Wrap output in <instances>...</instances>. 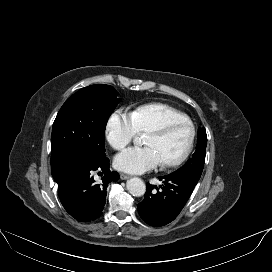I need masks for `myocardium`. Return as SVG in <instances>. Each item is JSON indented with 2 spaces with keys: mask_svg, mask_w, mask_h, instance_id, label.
Segmentation results:
<instances>
[{
  "mask_svg": "<svg viewBox=\"0 0 272 272\" xmlns=\"http://www.w3.org/2000/svg\"><path fill=\"white\" fill-rule=\"evenodd\" d=\"M180 127H186L189 131L188 144L185 150L183 151V153L178 158L171 161L162 162L161 164L163 167H166V168L177 167L188 159L195 144V138H196L195 127L193 123L189 120H175V121L166 122L156 128L151 129L150 131L146 133V135L166 136L173 130Z\"/></svg>",
  "mask_w": 272,
  "mask_h": 272,
  "instance_id": "myocardium-1",
  "label": "myocardium"
}]
</instances>
